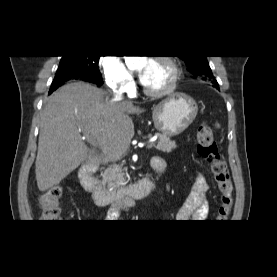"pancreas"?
Wrapping results in <instances>:
<instances>
[{
    "label": "pancreas",
    "instance_id": "obj_1",
    "mask_svg": "<svg viewBox=\"0 0 277 277\" xmlns=\"http://www.w3.org/2000/svg\"><path fill=\"white\" fill-rule=\"evenodd\" d=\"M177 147L176 142L170 140L169 137L159 135V139L155 148L161 152L170 153L173 149ZM126 168H123L121 165H111L107 168L103 175V181L107 183L109 188L117 189L126 184L125 171Z\"/></svg>",
    "mask_w": 277,
    "mask_h": 277
}]
</instances>
